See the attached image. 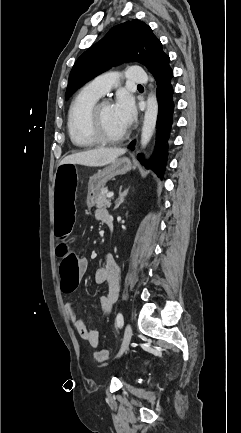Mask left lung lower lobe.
<instances>
[{"mask_svg": "<svg viewBox=\"0 0 241 433\" xmlns=\"http://www.w3.org/2000/svg\"><path fill=\"white\" fill-rule=\"evenodd\" d=\"M156 80V95L158 100V118L156 124V142L152 156L147 161L142 154L138 159L148 169H152L158 176L163 177L168 157V142L174 122V89L171 84L173 71L169 67L161 75L154 77ZM129 148L134 150V142H131Z\"/></svg>", "mask_w": 241, "mask_h": 433, "instance_id": "1", "label": "left lung lower lobe"}]
</instances>
